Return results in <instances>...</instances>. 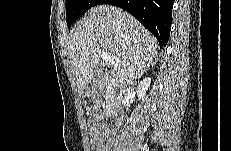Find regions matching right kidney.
I'll return each instance as SVG.
<instances>
[{
    "mask_svg": "<svg viewBox=\"0 0 231 151\" xmlns=\"http://www.w3.org/2000/svg\"><path fill=\"white\" fill-rule=\"evenodd\" d=\"M150 83H151V78L150 77H147V78H144L138 88H137V96L138 98L141 100L143 99V97L145 96L146 94V91L148 90L149 86H150Z\"/></svg>",
    "mask_w": 231,
    "mask_h": 151,
    "instance_id": "1",
    "label": "right kidney"
}]
</instances>
